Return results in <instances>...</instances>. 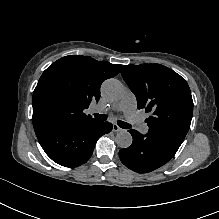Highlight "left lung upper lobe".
Returning a JSON list of instances; mask_svg holds the SVG:
<instances>
[{
    "instance_id": "obj_1",
    "label": "left lung upper lobe",
    "mask_w": 219,
    "mask_h": 219,
    "mask_svg": "<svg viewBox=\"0 0 219 219\" xmlns=\"http://www.w3.org/2000/svg\"><path fill=\"white\" fill-rule=\"evenodd\" d=\"M121 75L145 109L148 136L177 152L191 124L193 100L186 80L160 64L124 65Z\"/></svg>"
}]
</instances>
